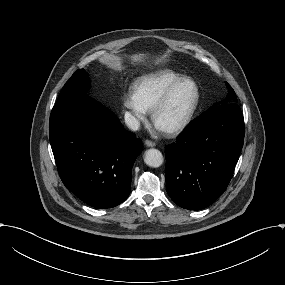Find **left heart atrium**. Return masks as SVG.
<instances>
[{
    "mask_svg": "<svg viewBox=\"0 0 285 285\" xmlns=\"http://www.w3.org/2000/svg\"><path fill=\"white\" fill-rule=\"evenodd\" d=\"M155 129L158 132H164L165 131V129L163 127H161L158 123H155Z\"/></svg>",
    "mask_w": 285,
    "mask_h": 285,
    "instance_id": "left-heart-atrium-1",
    "label": "left heart atrium"
}]
</instances>
